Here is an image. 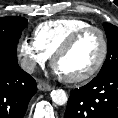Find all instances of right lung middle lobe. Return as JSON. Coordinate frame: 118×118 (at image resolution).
<instances>
[{
    "label": "right lung middle lobe",
    "instance_id": "right-lung-middle-lobe-1",
    "mask_svg": "<svg viewBox=\"0 0 118 118\" xmlns=\"http://www.w3.org/2000/svg\"><path fill=\"white\" fill-rule=\"evenodd\" d=\"M27 24L23 17L0 18V54L16 55L19 38Z\"/></svg>",
    "mask_w": 118,
    "mask_h": 118
}]
</instances>
